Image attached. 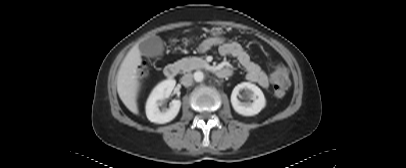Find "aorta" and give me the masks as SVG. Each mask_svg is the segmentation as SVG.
<instances>
[{"label":"aorta","mask_w":406,"mask_h":168,"mask_svg":"<svg viewBox=\"0 0 406 168\" xmlns=\"http://www.w3.org/2000/svg\"><path fill=\"white\" fill-rule=\"evenodd\" d=\"M194 79H195L196 82H201V81H203V79H204V74H203V72H201V71H196V72L194 73Z\"/></svg>","instance_id":"762f6f07"}]
</instances>
